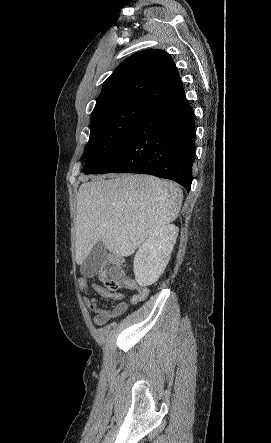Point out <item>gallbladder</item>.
Listing matches in <instances>:
<instances>
[{
	"mask_svg": "<svg viewBox=\"0 0 271 443\" xmlns=\"http://www.w3.org/2000/svg\"><path fill=\"white\" fill-rule=\"evenodd\" d=\"M107 253V247L102 241L95 243L87 259L80 265V273L86 278H93L95 273L102 272L101 261H104Z\"/></svg>",
	"mask_w": 271,
	"mask_h": 443,
	"instance_id": "1",
	"label": "gallbladder"
}]
</instances>
